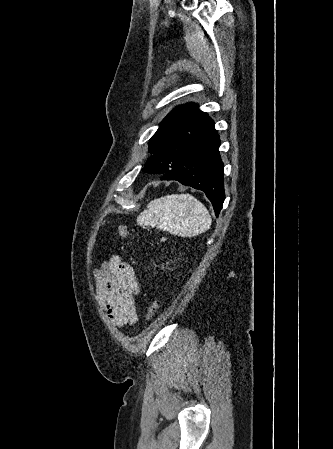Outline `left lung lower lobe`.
Returning <instances> with one entry per match:
<instances>
[{
	"mask_svg": "<svg viewBox=\"0 0 333 449\" xmlns=\"http://www.w3.org/2000/svg\"><path fill=\"white\" fill-rule=\"evenodd\" d=\"M219 146V135L213 120L208 117L184 162L161 177V180H177L183 185L203 191L212 202L216 216L219 215L225 199L224 166L218 151ZM154 167L155 161L150 158L144 171L151 173Z\"/></svg>",
	"mask_w": 333,
	"mask_h": 449,
	"instance_id": "obj_1",
	"label": "left lung lower lobe"
}]
</instances>
